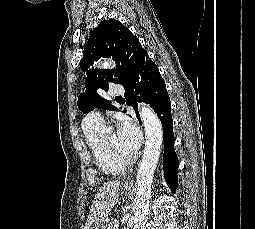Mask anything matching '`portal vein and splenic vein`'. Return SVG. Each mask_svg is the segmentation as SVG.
Returning <instances> with one entry per match:
<instances>
[{
	"label": "portal vein and splenic vein",
	"instance_id": "portal-vein-and-splenic-vein-1",
	"mask_svg": "<svg viewBox=\"0 0 255 229\" xmlns=\"http://www.w3.org/2000/svg\"><path fill=\"white\" fill-rule=\"evenodd\" d=\"M114 227H115V229H118V227H119V224H115V226H114Z\"/></svg>",
	"mask_w": 255,
	"mask_h": 229
}]
</instances>
